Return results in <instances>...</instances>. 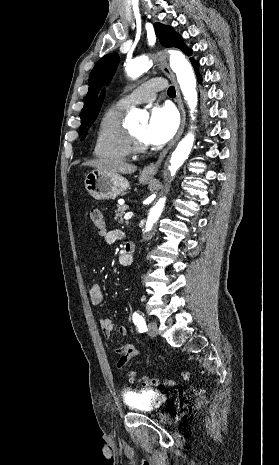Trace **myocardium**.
Wrapping results in <instances>:
<instances>
[{"mask_svg":"<svg viewBox=\"0 0 279 465\" xmlns=\"http://www.w3.org/2000/svg\"><path fill=\"white\" fill-rule=\"evenodd\" d=\"M129 147L133 153H144L148 150L147 143L141 141L131 130H128Z\"/></svg>","mask_w":279,"mask_h":465,"instance_id":"myocardium-1","label":"myocardium"}]
</instances>
